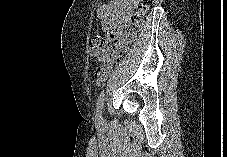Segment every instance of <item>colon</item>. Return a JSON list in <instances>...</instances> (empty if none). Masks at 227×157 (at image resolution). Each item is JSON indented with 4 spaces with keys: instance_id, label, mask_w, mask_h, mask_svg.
Instances as JSON below:
<instances>
[{
    "instance_id": "obj_1",
    "label": "colon",
    "mask_w": 227,
    "mask_h": 157,
    "mask_svg": "<svg viewBox=\"0 0 227 157\" xmlns=\"http://www.w3.org/2000/svg\"><path fill=\"white\" fill-rule=\"evenodd\" d=\"M147 11L148 5L139 0L136 13L131 16L123 37L116 42L114 48L110 49L109 37L107 35H97L91 39V55L95 59L102 61L95 75V80L98 84H102L107 80L113 66L121 59L127 52L129 45L137 38Z\"/></svg>"
}]
</instances>
